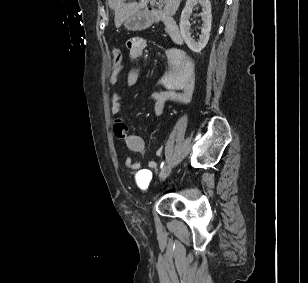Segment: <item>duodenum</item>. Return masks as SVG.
<instances>
[{"mask_svg":"<svg viewBox=\"0 0 308 283\" xmlns=\"http://www.w3.org/2000/svg\"><path fill=\"white\" fill-rule=\"evenodd\" d=\"M145 18L148 23H163L166 32L170 39L177 45H181L183 42L182 34L177 21L156 9L148 8L145 11Z\"/></svg>","mask_w":308,"mask_h":283,"instance_id":"410a0bca","label":"duodenum"}]
</instances>
